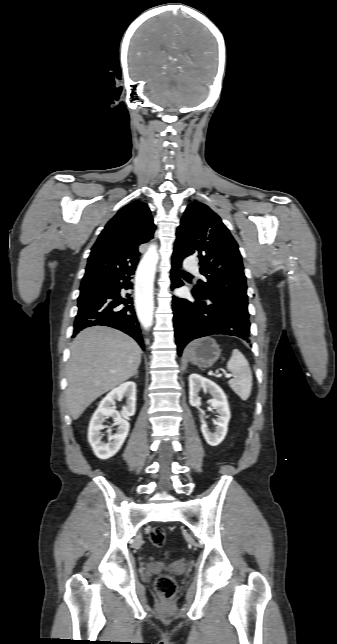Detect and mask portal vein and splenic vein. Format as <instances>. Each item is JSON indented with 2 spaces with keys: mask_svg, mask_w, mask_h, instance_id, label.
<instances>
[{
  "mask_svg": "<svg viewBox=\"0 0 337 644\" xmlns=\"http://www.w3.org/2000/svg\"><path fill=\"white\" fill-rule=\"evenodd\" d=\"M226 376L229 378V377H232L233 375L232 374H226Z\"/></svg>",
  "mask_w": 337,
  "mask_h": 644,
  "instance_id": "portal-vein-and-splenic-vein-1",
  "label": "portal vein and splenic vein"
}]
</instances>
